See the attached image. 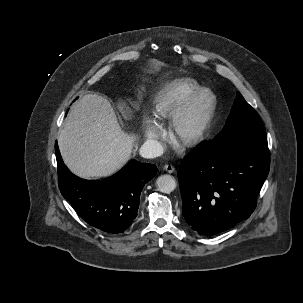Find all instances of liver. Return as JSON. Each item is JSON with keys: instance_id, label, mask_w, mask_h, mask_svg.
Returning <instances> with one entry per match:
<instances>
[{"instance_id": "1", "label": "liver", "mask_w": 303, "mask_h": 303, "mask_svg": "<svg viewBox=\"0 0 303 303\" xmlns=\"http://www.w3.org/2000/svg\"><path fill=\"white\" fill-rule=\"evenodd\" d=\"M136 139L121 129L108 100L86 94L69 112L59 131L58 145L64 163L74 174L106 177L129 160Z\"/></svg>"}]
</instances>
